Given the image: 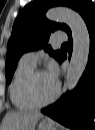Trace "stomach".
Listing matches in <instances>:
<instances>
[{
	"instance_id": "stomach-1",
	"label": "stomach",
	"mask_w": 95,
	"mask_h": 130,
	"mask_svg": "<svg viewBox=\"0 0 95 130\" xmlns=\"http://www.w3.org/2000/svg\"><path fill=\"white\" fill-rule=\"evenodd\" d=\"M38 130H57V127L53 121H42L38 125Z\"/></svg>"
}]
</instances>
